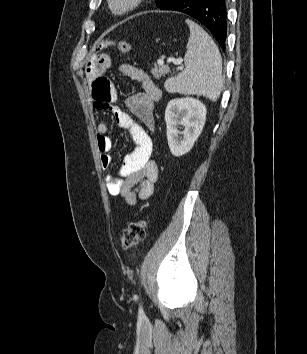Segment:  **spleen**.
Returning a JSON list of instances; mask_svg holds the SVG:
<instances>
[{"instance_id":"1","label":"spleen","mask_w":307,"mask_h":354,"mask_svg":"<svg viewBox=\"0 0 307 354\" xmlns=\"http://www.w3.org/2000/svg\"><path fill=\"white\" fill-rule=\"evenodd\" d=\"M190 29L185 69L168 79L165 89L170 93L202 95L215 102L222 91V58L212 38L196 23L186 20Z\"/></svg>"}]
</instances>
